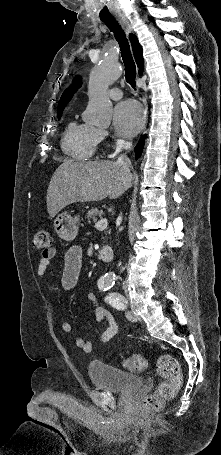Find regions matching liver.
Listing matches in <instances>:
<instances>
[{
  "label": "liver",
  "mask_w": 221,
  "mask_h": 455,
  "mask_svg": "<svg viewBox=\"0 0 221 455\" xmlns=\"http://www.w3.org/2000/svg\"><path fill=\"white\" fill-rule=\"evenodd\" d=\"M132 180V174L113 161H64L49 183L47 211L53 218L72 203L116 199Z\"/></svg>",
  "instance_id": "obj_1"
}]
</instances>
